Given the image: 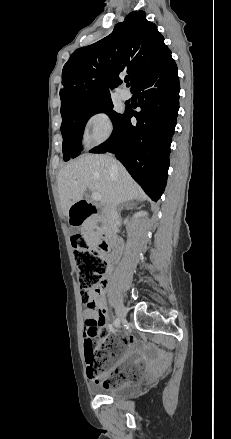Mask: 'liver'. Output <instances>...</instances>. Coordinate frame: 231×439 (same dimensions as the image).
Instances as JSON below:
<instances>
[{
	"instance_id": "1",
	"label": "liver",
	"mask_w": 231,
	"mask_h": 439,
	"mask_svg": "<svg viewBox=\"0 0 231 439\" xmlns=\"http://www.w3.org/2000/svg\"><path fill=\"white\" fill-rule=\"evenodd\" d=\"M117 168L113 169V164ZM58 188L63 213L82 200L86 188L101 195L103 206L143 197L140 187L124 166L108 155L85 154L63 167L58 175Z\"/></svg>"
}]
</instances>
